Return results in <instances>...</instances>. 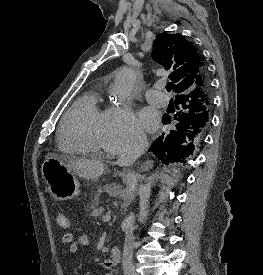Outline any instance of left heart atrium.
<instances>
[{
	"instance_id": "left-heart-atrium-1",
	"label": "left heart atrium",
	"mask_w": 263,
	"mask_h": 275,
	"mask_svg": "<svg viewBox=\"0 0 263 275\" xmlns=\"http://www.w3.org/2000/svg\"><path fill=\"white\" fill-rule=\"evenodd\" d=\"M139 123L143 129L154 131L159 125V118L154 110L145 108L139 114Z\"/></svg>"
}]
</instances>
